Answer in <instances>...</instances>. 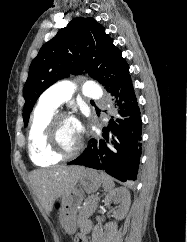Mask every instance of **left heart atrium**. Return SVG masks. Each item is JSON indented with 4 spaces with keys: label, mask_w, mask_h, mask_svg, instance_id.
Returning <instances> with one entry per match:
<instances>
[{
    "label": "left heart atrium",
    "mask_w": 187,
    "mask_h": 242,
    "mask_svg": "<svg viewBox=\"0 0 187 242\" xmlns=\"http://www.w3.org/2000/svg\"><path fill=\"white\" fill-rule=\"evenodd\" d=\"M72 122H73V125H74L77 133L80 134L81 130H82L81 124L77 120H72Z\"/></svg>",
    "instance_id": "39dd6f15"
}]
</instances>
